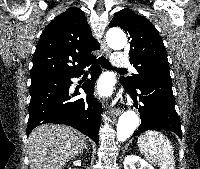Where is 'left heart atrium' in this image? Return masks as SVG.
<instances>
[{
    "instance_id": "39dd6f15",
    "label": "left heart atrium",
    "mask_w": 200,
    "mask_h": 169,
    "mask_svg": "<svg viewBox=\"0 0 200 169\" xmlns=\"http://www.w3.org/2000/svg\"><path fill=\"white\" fill-rule=\"evenodd\" d=\"M111 84L106 80H101L98 84L97 93L101 96H108L111 94Z\"/></svg>"
}]
</instances>
